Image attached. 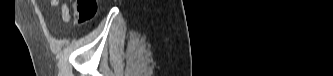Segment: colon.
<instances>
[{"label": "colon", "mask_w": 333, "mask_h": 76, "mask_svg": "<svg viewBox=\"0 0 333 76\" xmlns=\"http://www.w3.org/2000/svg\"><path fill=\"white\" fill-rule=\"evenodd\" d=\"M98 12L96 0H77L75 2V15L79 24L91 21Z\"/></svg>", "instance_id": "colon-1"}]
</instances>
